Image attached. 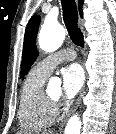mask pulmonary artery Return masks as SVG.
<instances>
[{"mask_svg": "<svg viewBox=\"0 0 116 134\" xmlns=\"http://www.w3.org/2000/svg\"><path fill=\"white\" fill-rule=\"evenodd\" d=\"M75 58V51L71 48H66L43 58L36 64L35 67L41 73L49 75L58 63L64 61H72Z\"/></svg>", "mask_w": 116, "mask_h": 134, "instance_id": "obj_1", "label": "pulmonary artery"}]
</instances>
